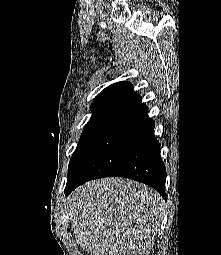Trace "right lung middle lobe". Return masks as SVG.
<instances>
[{
	"label": "right lung middle lobe",
	"mask_w": 221,
	"mask_h": 255,
	"mask_svg": "<svg viewBox=\"0 0 221 255\" xmlns=\"http://www.w3.org/2000/svg\"><path fill=\"white\" fill-rule=\"evenodd\" d=\"M115 110L116 109L114 108H108V109L93 111V114L84 128L80 141L77 145V148L75 152L73 153L72 158L70 160L69 167H68V174L73 170L79 158L85 152L87 147L90 145L94 137L97 135L100 129L104 126L107 120L115 112Z\"/></svg>",
	"instance_id": "right-lung-middle-lobe-1"
}]
</instances>
